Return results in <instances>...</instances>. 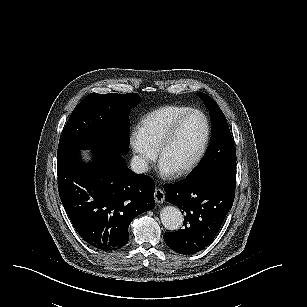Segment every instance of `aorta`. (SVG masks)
<instances>
[{
    "instance_id": "aorta-1",
    "label": "aorta",
    "mask_w": 307,
    "mask_h": 307,
    "mask_svg": "<svg viewBox=\"0 0 307 307\" xmlns=\"http://www.w3.org/2000/svg\"><path fill=\"white\" fill-rule=\"evenodd\" d=\"M163 226L168 230H178L184 221L181 211L174 206H165L160 212Z\"/></svg>"
}]
</instances>
